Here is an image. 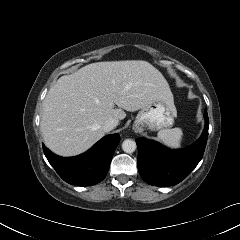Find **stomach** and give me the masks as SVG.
Wrapping results in <instances>:
<instances>
[{"mask_svg":"<svg viewBox=\"0 0 240 240\" xmlns=\"http://www.w3.org/2000/svg\"><path fill=\"white\" fill-rule=\"evenodd\" d=\"M177 115L173 101L160 99L149 103L137 114L134 129L164 130L173 126Z\"/></svg>","mask_w":240,"mask_h":240,"instance_id":"1","label":"stomach"}]
</instances>
